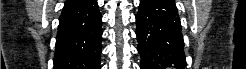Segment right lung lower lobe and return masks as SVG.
Returning <instances> with one entry per match:
<instances>
[{
  "label": "right lung lower lobe",
  "mask_w": 246,
  "mask_h": 69,
  "mask_svg": "<svg viewBox=\"0 0 246 69\" xmlns=\"http://www.w3.org/2000/svg\"><path fill=\"white\" fill-rule=\"evenodd\" d=\"M101 36L96 0H67L59 18L54 69H100Z\"/></svg>",
  "instance_id": "obj_1"
}]
</instances>
